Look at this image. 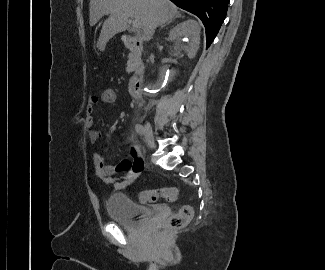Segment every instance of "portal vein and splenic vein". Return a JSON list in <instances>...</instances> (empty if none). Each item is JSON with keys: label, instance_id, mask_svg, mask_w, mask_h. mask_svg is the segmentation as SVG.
<instances>
[{"label": "portal vein and splenic vein", "instance_id": "18ae733b", "mask_svg": "<svg viewBox=\"0 0 325 270\" xmlns=\"http://www.w3.org/2000/svg\"><path fill=\"white\" fill-rule=\"evenodd\" d=\"M130 22H131L133 28H135V29L140 28V23L137 19H131Z\"/></svg>", "mask_w": 325, "mask_h": 270}]
</instances>
